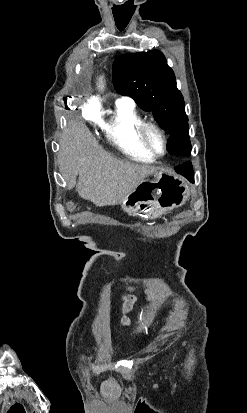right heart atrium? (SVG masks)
<instances>
[{"mask_svg": "<svg viewBox=\"0 0 247 413\" xmlns=\"http://www.w3.org/2000/svg\"><path fill=\"white\" fill-rule=\"evenodd\" d=\"M102 108V100H87L85 102L83 112L84 119H90V122L92 124H95L97 127H100L102 125V122L99 119L103 117V112L101 111Z\"/></svg>", "mask_w": 247, "mask_h": 413, "instance_id": "1", "label": "right heart atrium"}]
</instances>
